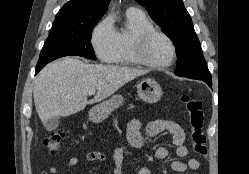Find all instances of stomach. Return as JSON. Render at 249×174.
I'll return each instance as SVG.
<instances>
[{
	"label": "stomach",
	"mask_w": 249,
	"mask_h": 174,
	"mask_svg": "<svg viewBox=\"0 0 249 174\" xmlns=\"http://www.w3.org/2000/svg\"><path fill=\"white\" fill-rule=\"evenodd\" d=\"M137 93L140 99L147 103H156L162 96L160 85L153 79H143L137 85ZM123 102L121 95H113L109 100H106L89 112V118L92 122L99 123L106 119L116 108Z\"/></svg>",
	"instance_id": "0dacf381"
}]
</instances>
